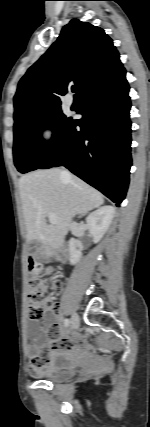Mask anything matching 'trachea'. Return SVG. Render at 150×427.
<instances>
[{
  "label": "trachea",
  "mask_w": 150,
  "mask_h": 427,
  "mask_svg": "<svg viewBox=\"0 0 150 427\" xmlns=\"http://www.w3.org/2000/svg\"><path fill=\"white\" fill-rule=\"evenodd\" d=\"M72 91L73 92H75L76 91V87L74 86V87H72Z\"/></svg>",
  "instance_id": "1"
}]
</instances>
